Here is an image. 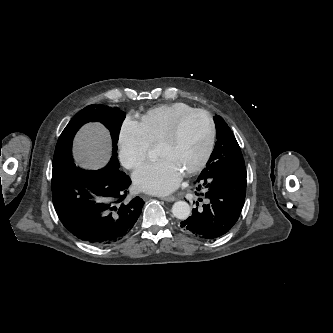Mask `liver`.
I'll return each instance as SVG.
<instances>
[{"label":"liver","mask_w":333,"mask_h":333,"mask_svg":"<svg viewBox=\"0 0 333 333\" xmlns=\"http://www.w3.org/2000/svg\"><path fill=\"white\" fill-rule=\"evenodd\" d=\"M109 133L100 123H89L77 134L74 142L76 162L89 168H97L110 159Z\"/></svg>","instance_id":"liver-1"}]
</instances>
